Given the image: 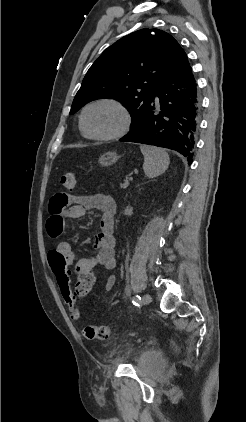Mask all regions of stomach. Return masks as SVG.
<instances>
[{
  "mask_svg": "<svg viewBox=\"0 0 246 422\" xmlns=\"http://www.w3.org/2000/svg\"><path fill=\"white\" fill-rule=\"evenodd\" d=\"M120 158L119 155L115 152H108L104 155H102L99 159V163L103 166H108L116 163L118 159Z\"/></svg>",
  "mask_w": 246,
  "mask_h": 422,
  "instance_id": "stomach-1",
  "label": "stomach"
}]
</instances>
